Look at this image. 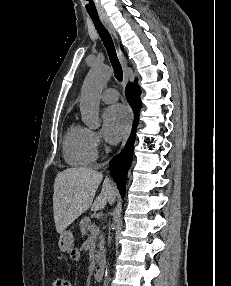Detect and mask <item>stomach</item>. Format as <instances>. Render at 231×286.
Wrapping results in <instances>:
<instances>
[{
    "label": "stomach",
    "instance_id": "stomach-1",
    "mask_svg": "<svg viewBox=\"0 0 231 286\" xmlns=\"http://www.w3.org/2000/svg\"><path fill=\"white\" fill-rule=\"evenodd\" d=\"M74 241V236L71 231H63L59 237V249L63 252L68 251Z\"/></svg>",
    "mask_w": 231,
    "mask_h": 286
}]
</instances>
